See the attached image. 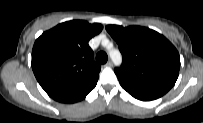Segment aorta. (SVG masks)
<instances>
[{"label": "aorta", "instance_id": "762f6f07", "mask_svg": "<svg viewBox=\"0 0 203 123\" xmlns=\"http://www.w3.org/2000/svg\"><path fill=\"white\" fill-rule=\"evenodd\" d=\"M111 59L113 60V62L115 63V65H120L122 62V57H121V53L116 50H110L109 52Z\"/></svg>", "mask_w": 203, "mask_h": 123}]
</instances>
